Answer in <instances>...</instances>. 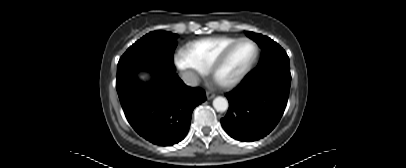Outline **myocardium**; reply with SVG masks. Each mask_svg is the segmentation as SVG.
I'll return each mask as SVG.
<instances>
[{"label":"myocardium","mask_w":406,"mask_h":168,"mask_svg":"<svg viewBox=\"0 0 406 168\" xmlns=\"http://www.w3.org/2000/svg\"><path fill=\"white\" fill-rule=\"evenodd\" d=\"M242 42H250L254 45V47H255L254 56L249 61V63L235 77H233L227 81H220L218 79V73H219L220 69L222 68V66L224 65V63L226 62L227 58L229 57L230 53L234 50V48ZM258 56H259V46L254 40H252L248 37L237 38L235 41H233L231 44L226 46L218 54V56L216 57V59L214 60L212 66H211L210 74H211L212 78L214 79V81L220 87H222L224 89L233 88V87L237 86L238 84H240L242 82V80L247 76V74L251 71V69L253 68L254 64L256 63V61L258 59Z\"/></svg>","instance_id":"1"}]
</instances>
